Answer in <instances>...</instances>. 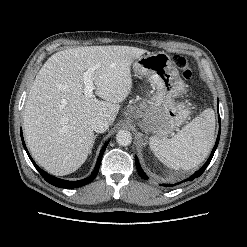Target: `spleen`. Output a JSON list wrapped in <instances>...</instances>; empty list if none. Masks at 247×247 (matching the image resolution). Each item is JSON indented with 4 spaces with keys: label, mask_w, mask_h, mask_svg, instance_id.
I'll return each mask as SVG.
<instances>
[{
    "label": "spleen",
    "mask_w": 247,
    "mask_h": 247,
    "mask_svg": "<svg viewBox=\"0 0 247 247\" xmlns=\"http://www.w3.org/2000/svg\"><path fill=\"white\" fill-rule=\"evenodd\" d=\"M215 114L204 110L171 139L150 137L154 155L167 167L190 170L201 164L214 144Z\"/></svg>",
    "instance_id": "3e777b00"
}]
</instances>
